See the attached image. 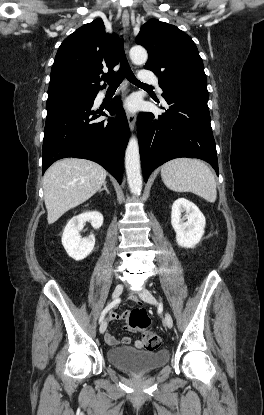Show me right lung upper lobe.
I'll use <instances>...</instances> for the list:
<instances>
[{"instance_id":"cb5924a9","label":"right lung upper lobe","mask_w":264,"mask_h":415,"mask_svg":"<svg viewBox=\"0 0 264 415\" xmlns=\"http://www.w3.org/2000/svg\"><path fill=\"white\" fill-rule=\"evenodd\" d=\"M119 38L105 32L103 21L98 18L77 29L60 45L51 69L48 99L64 96L96 95L105 87L100 86L114 73L118 64Z\"/></svg>"}]
</instances>
